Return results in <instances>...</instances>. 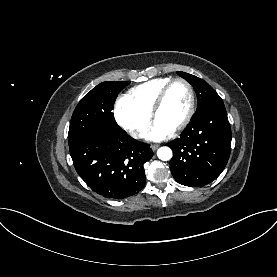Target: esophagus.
Returning a JSON list of instances; mask_svg holds the SVG:
<instances>
[{"label":"esophagus","instance_id":"obj_1","mask_svg":"<svg viewBox=\"0 0 277 277\" xmlns=\"http://www.w3.org/2000/svg\"><path fill=\"white\" fill-rule=\"evenodd\" d=\"M158 148H159V145H158V144H152V145H151V149H152L153 151L157 150Z\"/></svg>","mask_w":277,"mask_h":277}]
</instances>
